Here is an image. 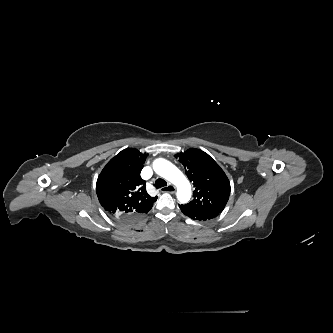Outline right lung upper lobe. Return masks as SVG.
Segmentation results:
<instances>
[{
	"label": "right lung upper lobe",
	"mask_w": 333,
	"mask_h": 333,
	"mask_svg": "<svg viewBox=\"0 0 333 333\" xmlns=\"http://www.w3.org/2000/svg\"><path fill=\"white\" fill-rule=\"evenodd\" d=\"M145 154L127 148L113 157L101 171L96 192L102 207L114 217L147 214L156 201L146 192L140 172Z\"/></svg>",
	"instance_id": "right-lung-upper-lobe-1"
}]
</instances>
